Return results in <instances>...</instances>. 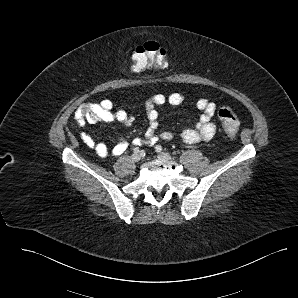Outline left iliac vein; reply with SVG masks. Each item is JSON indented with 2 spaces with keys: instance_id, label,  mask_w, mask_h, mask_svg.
Listing matches in <instances>:
<instances>
[{
  "instance_id": "obj_1",
  "label": "left iliac vein",
  "mask_w": 298,
  "mask_h": 298,
  "mask_svg": "<svg viewBox=\"0 0 298 298\" xmlns=\"http://www.w3.org/2000/svg\"><path fill=\"white\" fill-rule=\"evenodd\" d=\"M158 158L160 160L169 161L171 160V156L168 153L162 152L158 154Z\"/></svg>"
}]
</instances>
